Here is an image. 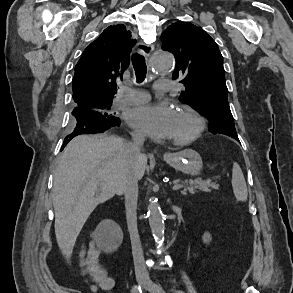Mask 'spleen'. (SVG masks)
<instances>
[{
  "mask_svg": "<svg viewBox=\"0 0 293 293\" xmlns=\"http://www.w3.org/2000/svg\"><path fill=\"white\" fill-rule=\"evenodd\" d=\"M232 187L233 192L238 201H246L248 192L242 170L237 162L233 163L232 169Z\"/></svg>",
  "mask_w": 293,
  "mask_h": 293,
  "instance_id": "obj_1",
  "label": "spleen"
}]
</instances>
